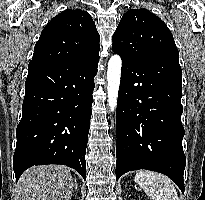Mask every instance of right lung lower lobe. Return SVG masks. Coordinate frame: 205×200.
Returning a JSON list of instances; mask_svg holds the SVG:
<instances>
[{
	"label": "right lung lower lobe",
	"mask_w": 205,
	"mask_h": 200,
	"mask_svg": "<svg viewBox=\"0 0 205 200\" xmlns=\"http://www.w3.org/2000/svg\"><path fill=\"white\" fill-rule=\"evenodd\" d=\"M99 54L70 63L30 62L13 157L16 182L29 167L67 165L86 179V147Z\"/></svg>",
	"instance_id": "obj_1"
}]
</instances>
